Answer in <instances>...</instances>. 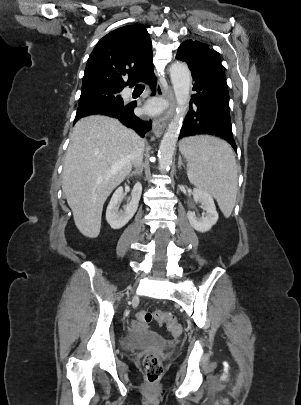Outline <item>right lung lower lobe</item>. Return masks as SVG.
<instances>
[{"mask_svg": "<svg viewBox=\"0 0 301 405\" xmlns=\"http://www.w3.org/2000/svg\"><path fill=\"white\" fill-rule=\"evenodd\" d=\"M140 81L148 83L152 88V94H155L156 90V77L154 75L153 69L149 70ZM136 104L130 103L125 105H114V106H104L89 110L83 113H77L75 117V122L81 118L88 115H106L109 117H115L119 119L125 126L134 129L140 136H145V133L151 129V121H143L139 119L134 114V108Z\"/></svg>", "mask_w": 301, "mask_h": 405, "instance_id": "obj_1", "label": "right lung lower lobe"}]
</instances>
